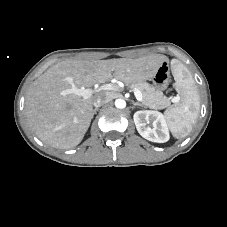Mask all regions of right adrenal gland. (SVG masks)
<instances>
[{"instance_id":"2a0ac1e0","label":"right adrenal gland","mask_w":227,"mask_h":227,"mask_svg":"<svg viewBox=\"0 0 227 227\" xmlns=\"http://www.w3.org/2000/svg\"><path fill=\"white\" fill-rule=\"evenodd\" d=\"M97 110H98V108H95L92 112V115L96 114Z\"/></svg>"}]
</instances>
